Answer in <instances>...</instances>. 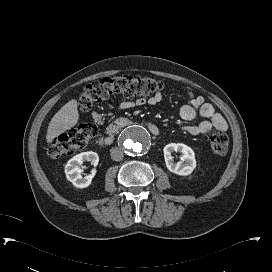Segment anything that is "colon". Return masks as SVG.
<instances>
[{
  "mask_svg": "<svg viewBox=\"0 0 272 272\" xmlns=\"http://www.w3.org/2000/svg\"><path fill=\"white\" fill-rule=\"evenodd\" d=\"M161 81L149 77H106L85 87L79 98V109L88 112L96 103L108 99L114 93L127 97H150L163 90ZM97 135V127L91 123H80L71 131L54 138L49 146L52 157L69 156L83 149ZM212 151L223 156L229 149V137L219 131L210 140Z\"/></svg>",
  "mask_w": 272,
  "mask_h": 272,
  "instance_id": "obj_1",
  "label": "colon"
}]
</instances>
